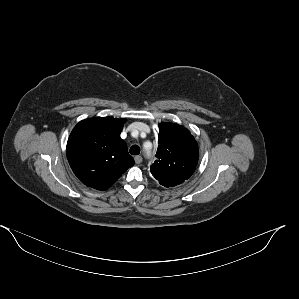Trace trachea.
Segmentation results:
<instances>
[{
	"label": "trachea",
	"mask_w": 299,
	"mask_h": 299,
	"mask_svg": "<svg viewBox=\"0 0 299 299\" xmlns=\"http://www.w3.org/2000/svg\"><path fill=\"white\" fill-rule=\"evenodd\" d=\"M140 153V147L138 145H133L130 148V154L132 155H138Z\"/></svg>",
	"instance_id": "3493384b"
}]
</instances>
